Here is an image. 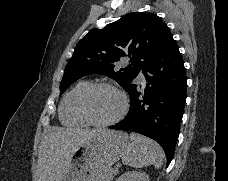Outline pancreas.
I'll return each mask as SVG.
<instances>
[{
	"instance_id": "pancreas-1",
	"label": "pancreas",
	"mask_w": 228,
	"mask_h": 181,
	"mask_svg": "<svg viewBox=\"0 0 228 181\" xmlns=\"http://www.w3.org/2000/svg\"><path fill=\"white\" fill-rule=\"evenodd\" d=\"M114 173L115 172L112 171V169H110V171H109V177H107V179H109V181H112Z\"/></svg>"
}]
</instances>
